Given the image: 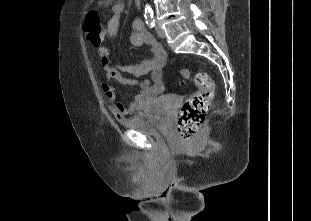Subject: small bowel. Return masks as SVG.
Wrapping results in <instances>:
<instances>
[{
    "mask_svg": "<svg viewBox=\"0 0 311 221\" xmlns=\"http://www.w3.org/2000/svg\"><path fill=\"white\" fill-rule=\"evenodd\" d=\"M124 9L125 4L122 0L112 4L111 16L104 31L107 38H115L118 35ZM133 29L131 43L137 47L143 44L149 45L151 52L149 59L137 64L114 65L109 59V48L107 46H101L97 50L99 67L104 77L102 88L112 113L118 119L141 111L149 100L162 92L164 87L162 72L168 61L166 51L145 29L142 19H134ZM125 75L132 77L127 78ZM146 76L148 77L145 78ZM112 80L123 85L139 87V92L134 101L128 106L118 101L116 89L111 83Z\"/></svg>",
    "mask_w": 311,
    "mask_h": 221,
    "instance_id": "obj_1",
    "label": "small bowel"
}]
</instances>
